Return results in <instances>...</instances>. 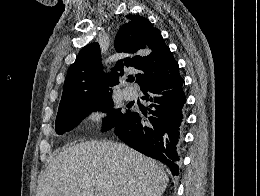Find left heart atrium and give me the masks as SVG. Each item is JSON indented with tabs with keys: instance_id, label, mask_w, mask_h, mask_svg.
<instances>
[{
	"instance_id": "39dd6f15",
	"label": "left heart atrium",
	"mask_w": 260,
	"mask_h": 196,
	"mask_svg": "<svg viewBox=\"0 0 260 196\" xmlns=\"http://www.w3.org/2000/svg\"><path fill=\"white\" fill-rule=\"evenodd\" d=\"M111 192H120L119 190H112Z\"/></svg>"
}]
</instances>
